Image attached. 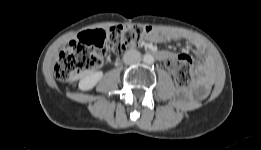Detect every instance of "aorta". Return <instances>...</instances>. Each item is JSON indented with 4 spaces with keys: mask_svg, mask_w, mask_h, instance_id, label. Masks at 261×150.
<instances>
[{
    "mask_svg": "<svg viewBox=\"0 0 261 150\" xmlns=\"http://www.w3.org/2000/svg\"><path fill=\"white\" fill-rule=\"evenodd\" d=\"M143 62L146 64H153L154 63V57L150 54H145L143 56Z\"/></svg>",
    "mask_w": 261,
    "mask_h": 150,
    "instance_id": "1",
    "label": "aorta"
}]
</instances>
